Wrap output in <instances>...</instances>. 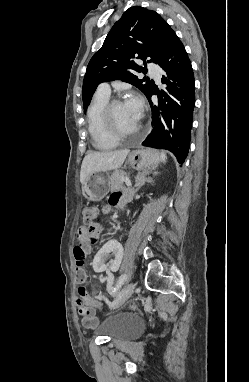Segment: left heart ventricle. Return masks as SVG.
<instances>
[{"label": "left heart ventricle", "instance_id": "b2bd125f", "mask_svg": "<svg viewBox=\"0 0 249 382\" xmlns=\"http://www.w3.org/2000/svg\"><path fill=\"white\" fill-rule=\"evenodd\" d=\"M113 120L116 127L125 133L135 131L140 123L124 102L114 107Z\"/></svg>", "mask_w": 249, "mask_h": 382}]
</instances>
